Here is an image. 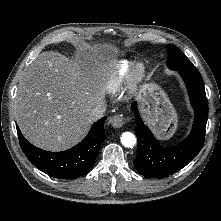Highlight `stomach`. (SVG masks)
<instances>
[{
	"label": "stomach",
	"instance_id": "obj_1",
	"mask_svg": "<svg viewBox=\"0 0 221 221\" xmlns=\"http://www.w3.org/2000/svg\"><path fill=\"white\" fill-rule=\"evenodd\" d=\"M139 98L146 123L160 140H169L176 132L178 115L167 94L150 82L140 88Z\"/></svg>",
	"mask_w": 221,
	"mask_h": 221
}]
</instances>
